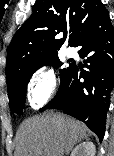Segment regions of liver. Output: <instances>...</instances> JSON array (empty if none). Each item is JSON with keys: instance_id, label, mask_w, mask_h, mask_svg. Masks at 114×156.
I'll return each instance as SVG.
<instances>
[{"instance_id": "obj_1", "label": "liver", "mask_w": 114, "mask_h": 156, "mask_svg": "<svg viewBox=\"0 0 114 156\" xmlns=\"http://www.w3.org/2000/svg\"><path fill=\"white\" fill-rule=\"evenodd\" d=\"M87 131L83 123L62 114L33 116L17 131L14 156H63L87 137Z\"/></svg>"}]
</instances>
